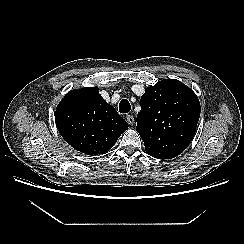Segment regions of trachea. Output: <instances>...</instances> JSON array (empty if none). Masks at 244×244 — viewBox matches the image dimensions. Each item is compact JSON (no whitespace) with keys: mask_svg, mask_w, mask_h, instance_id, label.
I'll list each match as a JSON object with an SVG mask.
<instances>
[{"mask_svg":"<svg viewBox=\"0 0 244 244\" xmlns=\"http://www.w3.org/2000/svg\"><path fill=\"white\" fill-rule=\"evenodd\" d=\"M131 110V105L129 103L128 100L123 99L121 100L120 104H119V111L120 113H128Z\"/></svg>","mask_w":244,"mask_h":244,"instance_id":"trachea-1","label":"trachea"}]
</instances>
